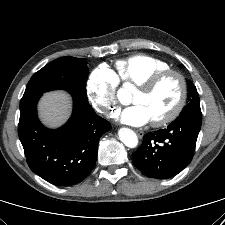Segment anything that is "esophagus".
Segmentation results:
<instances>
[{
  "mask_svg": "<svg viewBox=\"0 0 225 225\" xmlns=\"http://www.w3.org/2000/svg\"><path fill=\"white\" fill-rule=\"evenodd\" d=\"M135 132L139 138H142L144 136V132L141 130H135Z\"/></svg>",
  "mask_w": 225,
  "mask_h": 225,
  "instance_id": "obj_1",
  "label": "esophagus"
}]
</instances>
